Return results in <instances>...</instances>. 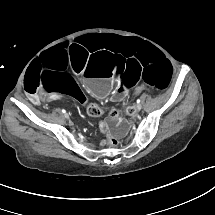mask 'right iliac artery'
I'll use <instances>...</instances> for the list:
<instances>
[{
	"label": "right iliac artery",
	"instance_id": "1",
	"mask_svg": "<svg viewBox=\"0 0 215 215\" xmlns=\"http://www.w3.org/2000/svg\"><path fill=\"white\" fill-rule=\"evenodd\" d=\"M62 112H63L64 114H66V111H65L64 109L62 110Z\"/></svg>",
	"mask_w": 215,
	"mask_h": 215
}]
</instances>
